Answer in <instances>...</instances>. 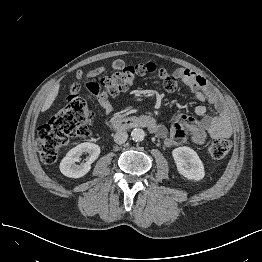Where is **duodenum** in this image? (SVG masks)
<instances>
[{
    "label": "duodenum",
    "mask_w": 262,
    "mask_h": 262,
    "mask_svg": "<svg viewBox=\"0 0 262 262\" xmlns=\"http://www.w3.org/2000/svg\"><path fill=\"white\" fill-rule=\"evenodd\" d=\"M150 128L151 123L144 118L120 117L112 123V128L116 131H124L132 128Z\"/></svg>",
    "instance_id": "obj_1"
}]
</instances>
